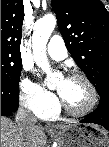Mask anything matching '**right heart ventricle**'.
Masks as SVG:
<instances>
[{"mask_svg":"<svg viewBox=\"0 0 109 147\" xmlns=\"http://www.w3.org/2000/svg\"><path fill=\"white\" fill-rule=\"evenodd\" d=\"M58 113H59L58 108H52V109H50L48 111H44V112L38 114V116L39 117L43 116L47 120V119L55 118Z\"/></svg>","mask_w":109,"mask_h":147,"instance_id":"obj_1","label":"right heart ventricle"}]
</instances>
